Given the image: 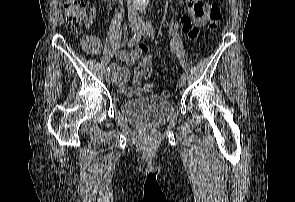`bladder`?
Masks as SVG:
<instances>
[{"label":"bladder","instance_id":"31cf9c89","mask_svg":"<svg viewBox=\"0 0 295 202\" xmlns=\"http://www.w3.org/2000/svg\"><path fill=\"white\" fill-rule=\"evenodd\" d=\"M119 112L128 121L160 126L173 116L174 108L166 99L158 95H149L124 101Z\"/></svg>","mask_w":295,"mask_h":202}]
</instances>
